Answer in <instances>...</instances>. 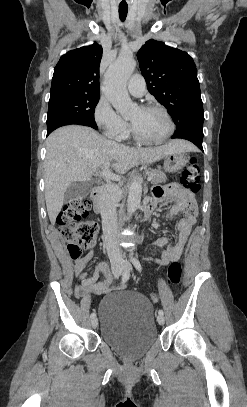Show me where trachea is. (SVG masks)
Wrapping results in <instances>:
<instances>
[{
    "label": "trachea",
    "mask_w": 247,
    "mask_h": 407,
    "mask_svg": "<svg viewBox=\"0 0 247 407\" xmlns=\"http://www.w3.org/2000/svg\"><path fill=\"white\" fill-rule=\"evenodd\" d=\"M128 13V6H119V18L121 21H125Z\"/></svg>",
    "instance_id": "3493384b"
}]
</instances>
